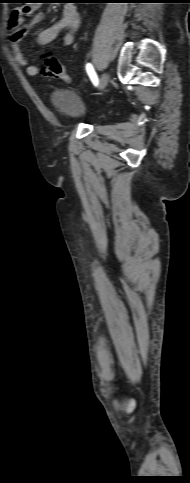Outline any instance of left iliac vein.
Segmentation results:
<instances>
[{"mask_svg": "<svg viewBox=\"0 0 190 483\" xmlns=\"http://www.w3.org/2000/svg\"><path fill=\"white\" fill-rule=\"evenodd\" d=\"M109 82V74L108 72L104 71L100 77V80H99V87L101 90L105 89V87L107 86Z\"/></svg>", "mask_w": 190, "mask_h": 483, "instance_id": "obj_1", "label": "left iliac vein"}]
</instances>
